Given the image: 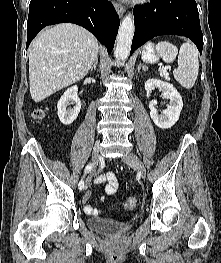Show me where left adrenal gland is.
Wrapping results in <instances>:
<instances>
[{"label": "left adrenal gland", "mask_w": 221, "mask_h": 263, "mask_svg": "<svg viewBox=\"0 0 221 263\" xmlns=\"http://www.w3.org/2000/svg\"><path fill=\"white\" fill-rule=\"evenodd\" d=\"M141 68H142L144 71H147V70H148L147 66L139 64V66H138V72L140 71Z\"/></svg>", "instance_id": "left-adrenal-gland-1"}]
</instances>
